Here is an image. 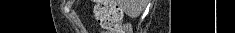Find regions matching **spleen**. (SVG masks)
I'll list each match as a JSON object with an SVG mask.
<instances>
[{
    "mask_svg": "<svg viewBox=\"0 0 235 33\" xmlns=\"http://www.w3.org/2000/svg\"><path fill=\"white\" fill-rule=\"evenodd\" d=\"M140 11H141V8H140L136 13H139ZM128 13H129V14H133V13H135V12L129 11Z\"/></svg>",
    "mask_w": 235,
    "mask_h": 33,
    "instance_id": "1",
    "label": "spleen"
}]
</instances>
